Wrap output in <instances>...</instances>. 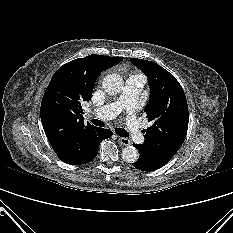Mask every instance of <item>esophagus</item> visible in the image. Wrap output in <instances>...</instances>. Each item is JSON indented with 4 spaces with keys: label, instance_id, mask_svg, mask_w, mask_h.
<instances>
[{
    "label": "esophagus",
    "instance_id": "34e87169",
    "mask_svg": "<svg viewBox=\"0 0 233 233\" xmlns=\"http://www.w3.org/2000/svg\"><path fill=\"white\" fill-rule=\"evenodd\" d=\"M118 141L125 146H128L131 144L130 140L128 138L125 137H118Z\"/></svg>",
    "mask_w": 233,
    "mask_h": 233
}]
</instances>
